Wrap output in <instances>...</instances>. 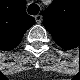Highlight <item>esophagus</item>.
<instances>
[{"instance_id": "1", "label": "esophagus", "mask_w": 80, "mask_h": 80, "mask_svg": "<svg viewBox=\"0 0 80 80\" xmlns=\"http://www.w3.org/2000/svg\"><path fill=\"white\" fill-rule=\"evenodd\" d=\"M35 20H36L37 23H41V21H42V16H41V15H36V16H35Z\"/></svg>"}]
</instances>
